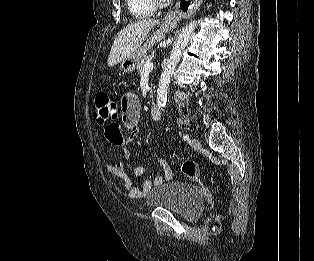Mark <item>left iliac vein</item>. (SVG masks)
I'll return each mask as SVG.
<instances>
[{
    "instance_id": "obj_1",
    "label": "left iliac vein",
    "mask_w": 314,
    "mask_h": 261,
    "mask_svg": "<svg viewBox=\"0 0 314 261\" xmlns=\"http://www.w3.org/2000/svg\"><path fill=\"white\" fill-rule=\"evenodd\" d=\"M191 145H192V147H193L194 149H198V148L201 147L200 141H199L198 139H196V138H192V139H191Z\"/></svg>"
}]
</instances>
